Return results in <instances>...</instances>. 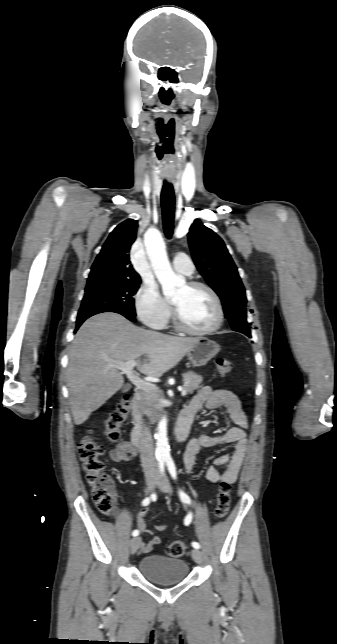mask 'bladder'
Wrapping results in <instances>:
<instances>
[{
	"label": "bladder",
	"mask_w": 337,
	"mask_h": 644,
	"mask_svg": "<svg viewBox=\"0 0 337 644\" xmlns=\"http://www.w3.org/2000/svg\"><path fill=\"white\" fill-rule=\"evenodd\" d=\"M138 569L147 580L160 585L179 583L189 574L188 564L184 560L163 555L143 557Z\"/></svg>",
	"instance_id": "1"
}]
</instances>
